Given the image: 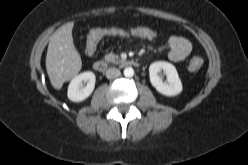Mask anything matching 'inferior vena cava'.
Returning a JSON list of instances; mask_svg holds the SVG:
<instances>
[{"label":"inferior vena cava","mask_w":248,"mask_h":165,"mask_svg":"<svg viewBox=\"0 0 248 165\" xmlns=\"http://www.w3.org/2000/svg\"><path fill=\"white\" fill-rule=\"evenodd\" d=\"M121 75V72L119 69L117 68H109L107 71H106V77L108 79H114V78H117Z\"/></svg>","instance_id":"1"}]
</instances>
